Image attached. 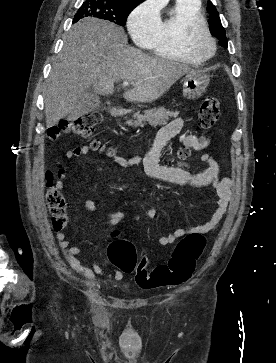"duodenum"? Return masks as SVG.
<instances>
[{
  "label": "duodenum",
  "instance_id": "410a0bca",
  "mask_svg": "<svg viewBox=\"0 0 276 363\" xmlns=\"http://www.w3.org/2000/svg\"><path fill=\"white\" fill-rule=\"evenodd\" d=\"M108 112L109 115L113 117H121L124 115V110L119 107H111Z\"/></svg>",
  "mask_w": 276,
  "mask_h": 363
}]
</instances>
